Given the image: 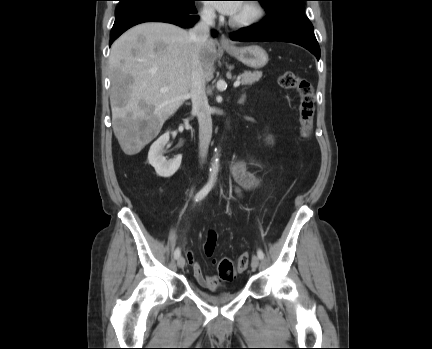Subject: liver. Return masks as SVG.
Listing matches in <instances>:
<instances>
[{
  "label": "liver",
  "mask_w": 432,
  "mask_h": 349,
  "mask_svg": "<svg viewBox=\"0 0 432 349\" xmlns=\"http://www.w3.org/2000/svg\"><path fill=\"white\" fill-rule=\"evenodd\" d=\"M194 48L188 31L160 22L137 25L112 44V125L126 155L139 153L151 142L189 97ZM216 58L210 39L199 50L206 80L213 77Z\"/></svg>",
  "instance_id": "1"
}]
</instances>
